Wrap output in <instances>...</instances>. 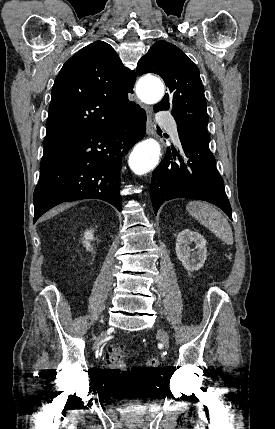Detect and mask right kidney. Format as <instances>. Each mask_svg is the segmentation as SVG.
I'll return each mask as SVG.
<instances>
[{"label":"right kidney","mask_w":275,"mask_h":429,"mask_svg":"<svg viewBox=\"0 0 275 429\" xmlns=\"http://www.w3.org/2000/svg\"><path fill=\"white\" fill-rule=\"evenodd\" d=\"M93 239H94L93 231L92 230L85 231L83 244L86 247V249L89 251H92V246H91L90 242Z\"/></svg>","instance_id":"ca27d5eb"}]
</instances>
